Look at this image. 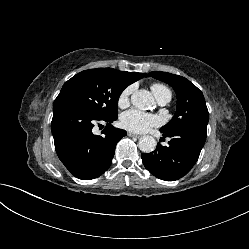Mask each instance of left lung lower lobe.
<instances>
[{"mask_svg":"<svg viewBox=\"0 0 249 249\" xmlns=\"http://www.w3.org/2000/svg\"><path fill=\"white\" fill-rule=\"evenodd\" d=\"M207 126H188L170 133L167 146L157 144L151 153H143L145 168L159 179L165 181L178 180L186 175L194 166L204 146Z\"/></svg>","mask_w":249,"mask_h":249,"instance_id":"1","label":"left lung lower lobe"}]
</instances>
